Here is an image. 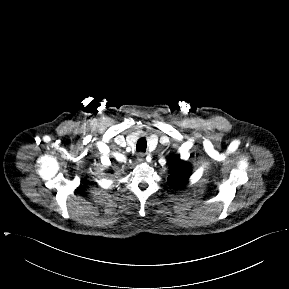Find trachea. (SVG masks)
Listing matches in <instances>:
<instances>
[{
    "instance_id": "3493384b",
    "label": "trachea",
    "mask_w": 289,
    "mask_h": 289,
    "mask_svg": "<svg viewBox=\"0 0 289 289\" xmlns=\"http://www.w3.org/2000/svg\"><path fill=\"white\" fill-rule=\"evenodd\" d=\"M146 148H147L146 140L144 138H140L137 142L136 150L141 151V152H145Z\"/></svg>"
}]
</instances>
